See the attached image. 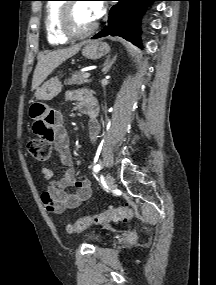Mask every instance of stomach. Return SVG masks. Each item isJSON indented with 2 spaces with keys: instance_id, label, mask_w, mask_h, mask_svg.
<instances>
[{
  "instance_id": "stomach-1",
  "label": "stomach",
  "mask_w": 216,
  "mask_h": 285,
  "mask_svg": "<svg viewBox=\"0 0 216 285\" xmlns=\"http://www.w3.org/2000/svg\"><path fill=\"white\" fill-rule=\"evenodd\" d=\"M110 47L101 41H89L82 50V55L87 59L96 60L109 53ZM62 90V84L57 77L44 82L35 92L37 100L48 101L56 97Z\"/></svg>"
}]
</instances>
